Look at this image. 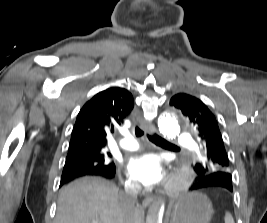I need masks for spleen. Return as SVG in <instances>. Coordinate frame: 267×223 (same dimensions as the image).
Returning a JSON list of instances; mask_svg holds the SVG:
<instances>
[{
    "label": "spleen",
    "instance_id": "obj_1",
    "mask_svg": "<svg viewBox=\"0 0 267 223\" xmlns=\"http://www.w3.org/2000/svg\"><path fill=\"white\" fill-rule=\"evenodd\" d=\"M225 223H235L232 215L230 213H226L224 217Z\"/></svg>",
    "mask_w": 267,
    "mask_h": 223
}]
</instances>
